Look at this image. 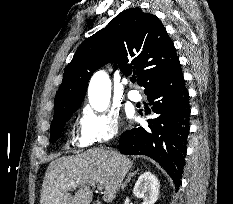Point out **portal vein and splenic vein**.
Segmentation results:
<instances>
[{
  "label": "portal vein and splenic vein",
  "instance_id": "portal-vein-and-splenic-vein-1",
  "mask_svg": "<svg viewBox=\"0 0 233 204\" xmlns=\"http://www.w3.org/2000/svg\"><path fill=\"white\" fill-rule=\"evenodd\" d=\"M93 187H96L97 190L101 191L103 189L102 185L100 184H92Z\"/></svg>",
  "mask_w": 233,
  "mask_h": 204
}]
</instances>
